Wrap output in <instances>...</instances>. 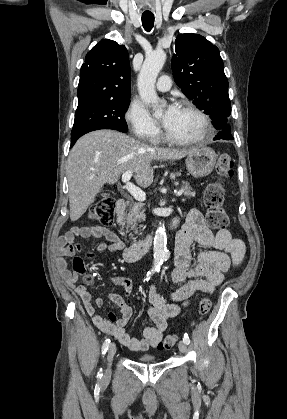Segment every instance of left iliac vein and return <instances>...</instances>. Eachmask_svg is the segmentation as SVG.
<instances>
[{
  "label": "left iliac vein",
  "instance_id": "left-iliac-vein-1",
  "mask_svg": "<svg viewBox=\"0 0 287 419\" xmlns=\"http://www.w3.org/2000/svg\"><path fill=\"white\" fill-rule=\"evenodd\" d=\"M178 347L180 352L182 353H185L187 351V344L184 341H180Z\"/></svg>",
  "mask_w": 287,
  "mask_h": 419
}]
</instances>
